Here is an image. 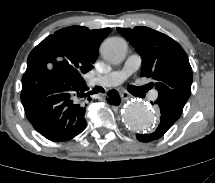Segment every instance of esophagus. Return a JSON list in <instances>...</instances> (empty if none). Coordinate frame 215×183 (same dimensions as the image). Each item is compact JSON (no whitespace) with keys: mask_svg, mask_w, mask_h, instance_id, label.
I'll return each mask as SVG.
<instances>
[{"mask_svg":"<svg viewBox=\"0 0 215 183\" xmlns=\"http://www.w3.org/2000/svg\"><path fill=\"white\" fill-rule=\"evenodd\" d=\"M121 97H122V99H123L124 101H126V100H128V99L130 98V94L127 93V92H123V93L121 94Z\"/></svg>","mask_w":215,"mask_h":183,"instance_id":"obj_1","label":"esophagus"}]
</instances>
